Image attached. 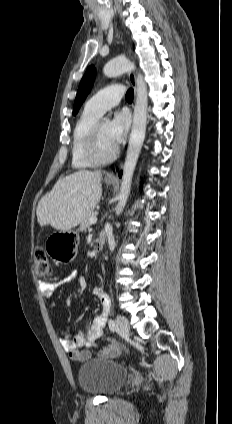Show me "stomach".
Returning a JSON list of instances; mask_svg holds the SVG:
<instances>
[{
    "mask_svg": "<svg viewBox=\"0 0 232 424\" xmlns=\"http://www.w3.org/2000/svg\"><path fill=\"white\" fill-rule=\"evenodd\" d=\"M107 185L113 182L105 179ZM79 242V235L76 231H57L52 233L45 242L47 254L59 263L72 261L76 254Z\"/></svg>",
    "mask_w": 232,
    "mask_h": 424,
    "instance_id": "1",
    "label": "stomach"
}]
</instances>
